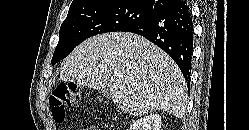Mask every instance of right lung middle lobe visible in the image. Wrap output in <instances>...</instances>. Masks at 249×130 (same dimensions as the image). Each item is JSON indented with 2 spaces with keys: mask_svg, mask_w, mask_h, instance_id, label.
Returning a JSON list of instances; mask_svg holds the SVG:
<instances>
[{
  "mask_svg": "<svg viewBox=\"0 0 249 130\" xmlns=\"http://www.w3.org/2000/svg\"><path fill=\"white\" fill-rule=\"evenodd\" d=\"M156 13L127 0H102L69 9L60 27L52 65L59 62L87 38L106 32L123 31Z\"/></svg>",
  "mask_w": 249,
  "mask_h": 130,
  "instance_id": "1",
  "label": "right lung middle lobe"
}]
</instances>
